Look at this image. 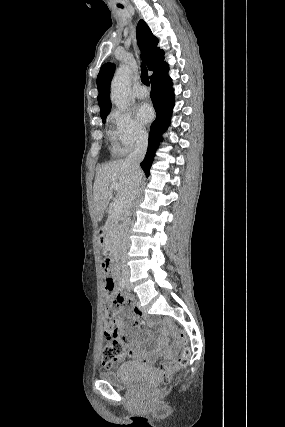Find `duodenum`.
Here are the masks:
<instances>
[{"instance_id":"410a0bca","label":"duodenum","mask_w":285,"mask_h":427,"mask_svg":"<svg viewBox=\"0 0 285 427\" xmlns=\"http://www.w3.org/2000/svg\"><path fill=\"white\" fill-rule=\"evenodd\" d=\"M115 230L114 225H110L108 227H101L99 229V243L101 245H105L106 244V234L107 232H113Z\"/></svg>"}]
</instances>
